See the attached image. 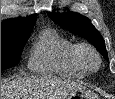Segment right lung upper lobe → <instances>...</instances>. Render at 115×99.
Segmentation results:
<instances>
[{
	"label": "right lung upper lobe",
	"mask_w": 115,
	"mask_h": 99,
	"mask_svg": "<svg viewBox=\"0 0 115 99\" xmlns=\"http://www.w3.org/2000/svg\"><path fill=\"white\" fill-rule=\"evenodd\" d=\"M36 22V14L26 18L5 20L1 24V36L31 34Z\"/></svg>",
	"instance_id": "obj_1"
}]
</instances>
